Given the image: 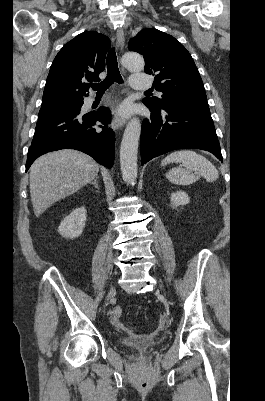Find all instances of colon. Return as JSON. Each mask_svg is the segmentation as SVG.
Segmentation results:
<instances>
[{
    "label": "colon",
    "instance_id": "1",
    "mask_svg": "<svg viewBox=\"0 0 265 401\" xmlns=\"http://www.w3.org/2000/svg\"><path fill=\"white\" fill-rule=\"evenodd\" d=\"M123 313L122 308L116 307L112 312V321L115 325L119 326V319Z\"/></svg>",
    "mask_w": 265,
    "mask_h": 401
}]
</instances>
